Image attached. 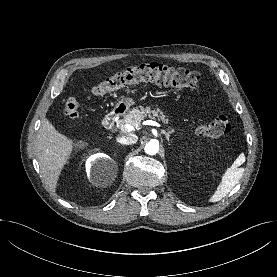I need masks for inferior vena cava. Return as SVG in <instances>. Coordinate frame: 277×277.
Listing matches in <instances>:
<instances>
[{"label":"inferior vena cava","instance_id":"602c4592","mask_svg":"<svg viewBox=\"0 0 277 277\" xmlns=\"http://www.w3.org/2000/svg\"><path fill=\"white\" fill-rule=\"evenodd\" d=\"M138 140V137L135 134H126L121 137L117 138V142L123 144V145H131L136 143Z\"/></svg>","mask_w":277,"mask_h":277}]
</instances>
